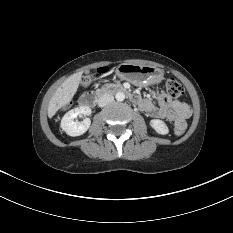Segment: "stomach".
Listing matches in <instances>:
<instances>
[{"instance_id":"1","label":"stomach","mask_w":233,"mask_h":233,"mask_svg":"<svg viewBox=\"0 0 233 233\" xmlns=\"http://www.w3.org/2000/svg\"><path fill=\"white\" fill-rule=\"evenodd\" d=\"M116 72L123 79L136 85L145 83L158 84L163 80V72L153 66L122 63L117 67Z\"/></svg>"}]
</instances>
